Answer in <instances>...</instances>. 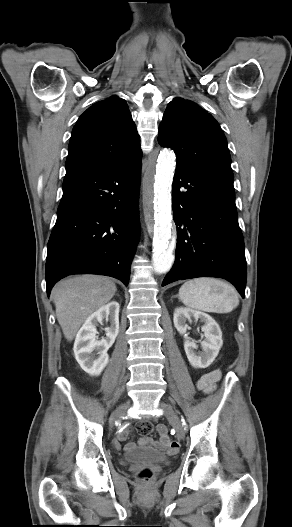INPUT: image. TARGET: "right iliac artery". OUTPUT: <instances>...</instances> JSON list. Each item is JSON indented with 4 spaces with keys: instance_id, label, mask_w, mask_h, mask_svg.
Segmentation results:
<instances>
[{
    "instance_id": "right-iliac-artery-1",
    "label": "right iliac artery",
    "mask_w": 292,
    "mask_h": 527,
    "mask_svg": "<svg viewBox=\"0 0 292 527\" xmlns=\"http://www.w3.org/2000/svg\"><path fill=\"white\" fill-rule=\"evenodd\" d=\"M131 419H134V416H131ZM131 425H134V422H131ZM118 429L126 430V423H121V426H118Z\"/></svg>"
}]
</instances>
